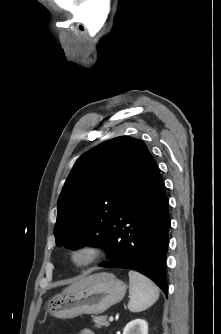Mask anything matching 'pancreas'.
<instances>
[{"label": "pancreas", "mask_w": 221, "mask_h": 334, "mask_svg": "<svg viewBox=\"0 0 221 334\" xmlns=\"http://www.w3.org/2000/svg\"><path fill=\"white\" fill-rule=\"evenodd\" d=\"M92 320L97 328H101L103 326L108 327L110 325L106 316H94Z\"/></svg>", "instance_id": "cf45deb5"}]
</instances>
